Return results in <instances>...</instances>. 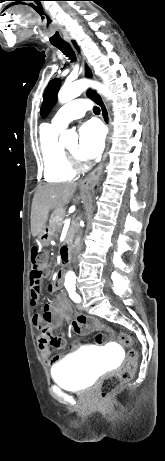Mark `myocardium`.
<instances>
[{
  "label": "myocardium",
  "mask_w": 165,
  "mask_h": 461,
  "mask_svg": "<svg viewBox=\"0 0 165 461\" xmlns=\"http://www.w3.org/2000/svg\"><path fill=\"white\" fill-rule=\"evenodd\" d=\"M64 151L68 157V160L74 170H83L85 168L84 161L78 156V154H74L68 149L64 148Z\"/></svg>",
  "instance_id": "myocardium-1"
}]
</instances>
